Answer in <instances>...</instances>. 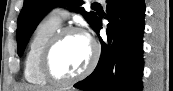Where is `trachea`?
Masks as SVG:
<instances>
[{
    "instance_id": "obj_1",
    "label": "trachea",
    "mask_w": 173,
    "mask_h": 91,
    "mask_svg": "<svg viewBox=\"0 0 173 91\" xmlns=\"http://www.w3.org/2000/svg\"><path fill=\"white\" fill-rule=\"evenodd\" d=\"M92 7H101L99 3H93Z\"/></svg>"
}]
</instances>
